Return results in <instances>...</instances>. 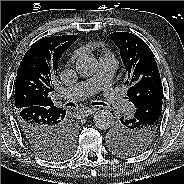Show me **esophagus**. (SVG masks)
<instances>
[{"label": "esophagus", "mask_w": 184, "mask_h": 184, "mask_svg": "<svg viewBox=\"0 0 184 184\" xmlns=\"http://www.w3.org/2000/svg\"><path fill=\"white\" fill-rule=\"evenodd\" d=\"M97 108L92 107V108H86V109H82L80 111V113L84 116H89L92 115L94 112H96Z\"/></svg>", "instance_id": "34e87169"}]
</instances>
